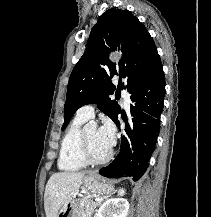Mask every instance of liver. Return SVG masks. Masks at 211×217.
<instances>
[{
  "label": "liver",
  "instance_id": "6515ba94",
  "mask_svg": "<svg viewBox=\"0 0 211 217\" xmlns=\"http://www.w3.org/2000/svg\"><path fill=\"white\" fill-rule=\"evenodd\" d=\"M83 172H58L48 180L44 194L46 217H58L60 208L78 192Z\"/></svg>",
  "mask_w": 211,
  "mask_h": 217
}]
</instances>
